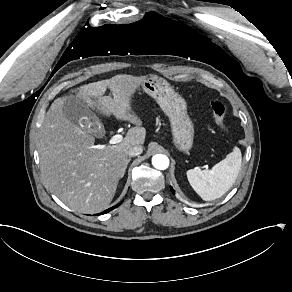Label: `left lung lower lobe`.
<instances>
[{"mask_svg":"<svg viewBox=\"0 0 292 292\" xmlns=\"http://www.w3.org/2000/svg\"><path fill=\"white\" fill-rule=\"evenodd\" d=\"M171 191L174 193V190L172 189V187H171Z\"/></svg>","mask_w":292,"mask_h":292,"instance_id":"1","label":"left lung lower lobe"}]
</instances>
